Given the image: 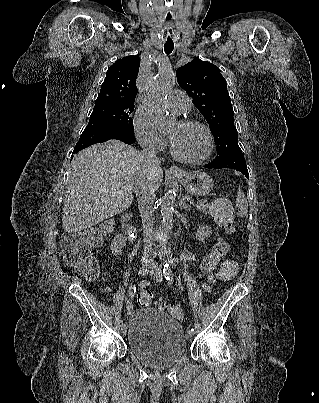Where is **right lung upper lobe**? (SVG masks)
I'll return each mask as SVG.
<instances>
[{"label": "right lung upper lobe", "mask_w": 319, "mask_h": 403, "mask_svg": "<svg viewBox=\"0 0 319 403\" xmlns=\"http://www.w3.org/2000/svg\"><path fill=\"white\" fill-rule=\"evenodd\" d=\"M139 67L140 58L136 55L117 60L108 68L96 102L134 105Z\"/></svg>", "instance_id": "obj_1"}]
</instances>
